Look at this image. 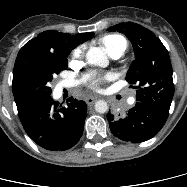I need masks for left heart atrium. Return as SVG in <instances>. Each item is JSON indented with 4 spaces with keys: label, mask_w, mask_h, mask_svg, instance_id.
<instances>
[{
    "label": "left heart atrium",
    "mask_w": 187,
    "mask_h": 187,
    "mask_svg": "<svg viewBox=\"0 0 187 187\" xmlns=\"http://www.w3.org/2000/svg\"><path fill=\"white\" fill-rule=\"evenodd\" d=\"M108 78H109V76H107V75L106 76L97 77V78H95L94 80L91 81L90 86L92 88H94V89H98L99 85L103 81L107 80Z\"/></svg>",
    "instance_id": "1"
}]
</instances>
